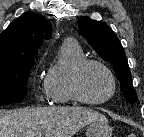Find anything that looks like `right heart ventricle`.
Returning a JSON list of instances; mask_svg holds the SVG:
<instances>
[{
	"label": "right heart ventricle",
	"instance_id": "obj_1",
	"mask_svg": "<svg viewBox=\"0 0 144 137\" xmlns=\"http://www.w3.org/2000/svg\"><path fill=\"white\" fill-rule=\"evenodd\" d=\"M84 59L85 54L77 41L67 39L62 43L45 74V88L54 103L69 104L76 101L71 91V77L76 66Z\"/></svg>",
	"mask_w": 144,
	"mask_h": 137
}]
</instances>
